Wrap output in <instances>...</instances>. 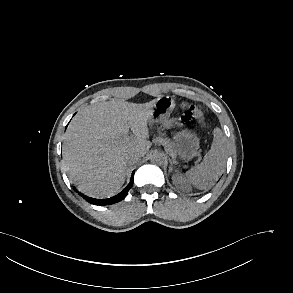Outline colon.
Masks as SVG:
<instances>
[{
  "mask_svg": "<svg viewBox=\"0 0 293 293\" xmlns=\"http://www.w3.org/2000/svg\"><path fill=\"white\" fill-rule=\"evenodd\" d=\"M184 114L181 118L182 123H188L193 118H197L201 123H204V117L201 111L193 104L182 103Z\"/></svg>",
  "mask_w": 293,
  "mask_h": 293,
  "instance_id": "colon-1",
  "label": "colon"
}]
</instances>
